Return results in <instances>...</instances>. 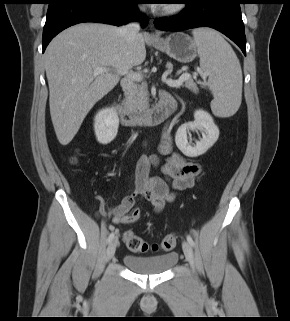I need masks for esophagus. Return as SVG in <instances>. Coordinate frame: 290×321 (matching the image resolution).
Returning a JSON list of instances; mask_svg holds the SVG:
<instances>
[{"mask_svg":"<svg viewBox=\"0 0 290 321\" xmlns=\"http://www.w3.org/2000/svg\"><path fill=\"white\" fill-rule=\"evenodd\" d=\"M149 39H157L159 37L158 33L151 32L150 34L147 35Z\"/></svg>","mask_w":290,"mask_h":321,"instance_id":"obj_1","label":"esophagus"}]
</instances>
